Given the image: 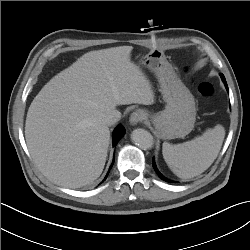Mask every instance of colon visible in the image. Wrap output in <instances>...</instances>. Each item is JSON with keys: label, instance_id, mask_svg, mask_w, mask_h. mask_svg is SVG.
Wrapping results in <instances>:
<instances>
[{"label": "colon", "instance_id": "colon-1", "mask_svg": "<svg viewBox=\"0 0 250 250\" xmlns=\"http://www.w3.org/2000/svg\"><path fill=\"white\" fill-rule=\"evenodd\" d=\"M198 91L202 97L207 98L213 94L214 88H213V85L211 83L202 82L198 86Z\"/></svg>", "mask_w": 250, "mask_h": 250}]
</instances>
